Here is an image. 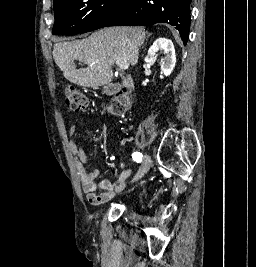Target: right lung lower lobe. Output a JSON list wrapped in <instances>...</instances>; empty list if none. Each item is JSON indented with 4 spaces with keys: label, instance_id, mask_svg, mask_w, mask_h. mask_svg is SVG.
Masks as SVG:
<instances>
[{
    "label": "right lung lower lobe",
    "instance_id": "right-lung-lower-lobe-1",
    "mask_svg": "<svg viewBox=\"0 0 256 267\" xmlns=\"http://www.w3.org/2000/svg\"><path fill=\"white\" fill-rule=\"evenodd\" d=\"M192 0H133L123 14L106 23L113 25H144L168 23L180 32L186 45L189 36L190 3Z\"/></svg>",
    "mask_w": 256,
    "mask_h": 267
}]
</instances>
